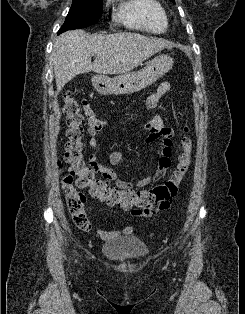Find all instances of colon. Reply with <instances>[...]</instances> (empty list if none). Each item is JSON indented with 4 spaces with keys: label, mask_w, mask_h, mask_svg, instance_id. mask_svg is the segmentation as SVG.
Segmentation results:
<instances>
[{
    "label": "colon",
    "mask_w": 245,
    "mask_h": 314,
    "mask_svg": "<svg viewBox=\"0 0 245 314\" xmlns=\"http://www.w3.org/2000/svg\"><path fill=\"white\" fill-rule=\"evenodd\" d=\"M64 113L67 122L65 162L69 165L68 173L63 176V191L71 218L77 228L88 231L91 228L90 220L85 211V196L80 188H87L90 194L107 204L148 214L157 213L170 207L173 198L177 195L184 175L191 164L192 141L189 128L184 129L185 136L181 140L182 153L171 176L164 183L152 189L133 191L110 186L96 176L93 168L89 167L83 156L84 144V116L82 104L71 92L64 94ZM98 126V124H96Z\"/></svg>",
    "instance_id": "5ec220e1"
}]
</instances>
